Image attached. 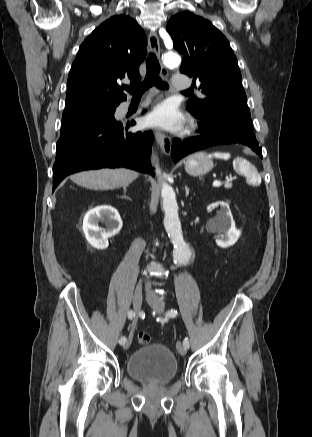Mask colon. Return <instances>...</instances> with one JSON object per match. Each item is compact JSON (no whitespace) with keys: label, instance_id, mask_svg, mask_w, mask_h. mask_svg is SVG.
<instances>
[{"label":"colon","instance_id":"colon-1","mask_svg":"<svg viewBox=\"0 0 312 437\" xmlns=\"http://www.w3.org/2000/svg\"><path fill=\"white\" fill-rule=\"evenodd\" d=\"M137 339L140 344H148L150 342V335L146 332L140 331L137 334Z\"/></svg>","mask_w":312,"mask_h":437}]
</instances>
